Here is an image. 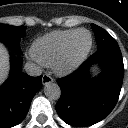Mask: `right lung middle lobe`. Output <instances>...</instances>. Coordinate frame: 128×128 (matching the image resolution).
I'll return each instance as SVG.
<instances>
[{
  "label": "right lung middle lobe",
  "mask_w": 128,
  "mask_h": 128,
  "mask_svg": "<svg viewBox=\"0 0 128 128\" xmlns=\"http://www.w3.org/2000/svg\"><path fill=\"white\" fill-rule=\"evenodd\" d=\"M26 26H11L0 24V41L10 46L14 51H20L19 42L25 35Z\"/></svg>",
  "instance_id": "obj_1"
}]
</instances>
